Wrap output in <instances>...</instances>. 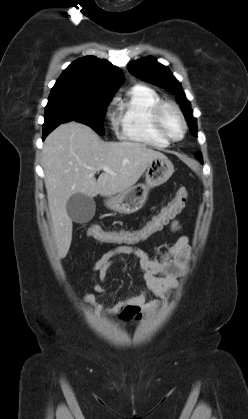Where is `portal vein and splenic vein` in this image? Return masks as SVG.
I'll return each mask as SVG.
<instances>
[{
	"instance_id": "portal-vein-and-splenic-vein-1",
	"label": "portal vein and splenic vein",
	"mask_w": 248,
	"mask_h": 419,
	"mask_svg": "<svg viewBox=\"0 0 248 419\" xmlns=\"http://www.w3.org/2000/svg\"><path fill=\"white\" fill-rule=\"evenodd\" d=\"M98 170H103V171H106V172H108V173H111V174H113V172L109 169V167H107V166H102L100 169H98Z\"/></svg>"
}]
</instances>
